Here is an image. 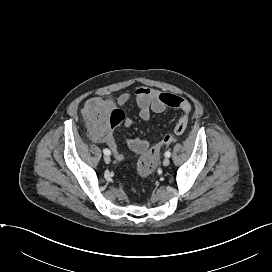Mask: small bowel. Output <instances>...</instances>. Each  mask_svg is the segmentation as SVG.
Masks as SVG:
<instances>
[{"instance_id": "obj_1", "label": "small bowel", "mask_w": 272, "mask_h": 272, "mask_svg": "<svg viewBox=\"0 0 272 272\" xmlns=\"http://www.w3.org/2000/svg\"><path fill=\"white\" fill-rule=\"evenodd\" d=\"M131 100H135L139 115L143 120H149L152 113H162L167 109L180 110L182 115L175 125L174 133L181 135L185 131L187 125L184 128H181V126L184 121L187 122L189 120L191 111V105L186 99L172 93L161 92L146 86H139L135 89L133 95L129 93L120 95L117 98V104L125 105ZM130 124L131 121L126 119L124 126L128 127ZM93 139L105 143L111 149L117 160L121 161L125 158V154L119 150L116 144L112 130H108L102 136H93ZM128 146L134 153L139 154L148 149L149 143L139 138H133L128 141Z\"/></svg>"}]
</instances>
